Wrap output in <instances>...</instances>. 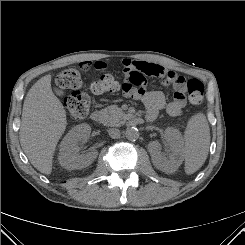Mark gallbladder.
Listing matches in <instances>:
<instances>
[{
    "mask_svg": "<svg viewBox=\"0 0 245 245\" xmlns=\"http://www.w3.org/2000/svg\"><path fill=\"white\" fill-rule=\"evenodd\" d=\"M57 95L62 96L64 94V92L62 90H55Z\"/></svg>",
    "mask_w": 245,
    "mask_h": 245,
    "instance_id": "obj_1",
    "label": "gallbladder"
}]
</instances>
